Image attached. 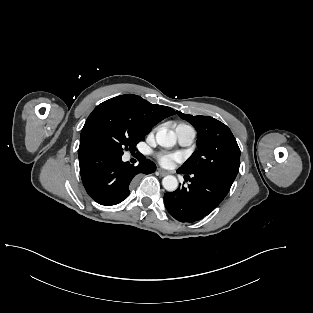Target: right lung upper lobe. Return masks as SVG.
I'll list each match as a JSON object with an SVG mask.
<instances>
[{
  "instance_id": "1",
  "label": "right lung upper lobe",
  "mask_w": 313,
  "mask_h": 313,
  "mask_svg": "<svg viewBox=\"0 0 313 313\" xmlns=\"http://www.w3.org/2000/svg\"><path fill=\"white\" fill-rule=\"evenodd\" d=\"M110 105L128 112L141 128L149 132L158 122L176 113L170 107L151 104L137 95L127 94L109 99L98 105L87 118L81 131L79 154L95 149L92 139L93 125L101 112Z\"/></svg>"
}]
</instances>
